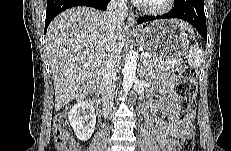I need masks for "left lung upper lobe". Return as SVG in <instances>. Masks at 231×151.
<instances>
[{
    "mask_svg": "<svg viewBox=\"0 0 231 151\" xmlns=\"http://www.w3.org/2000/svg\"><path fill=\"white\" fill-rule=\"evenodd\" d=\"M180 0H174V7H177L179 5Z\"/></svg>",
    "mask_w": 231,
    "mask_h": 151,
    "instance_id": "5c2ea615",
    "label": "left lung upper lobe"
}]
</instances>
